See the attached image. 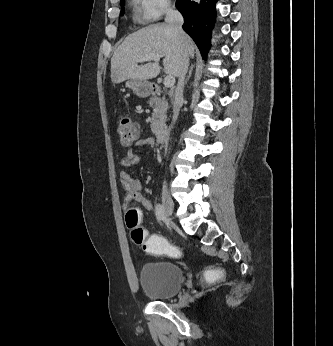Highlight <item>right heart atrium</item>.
Here are the masks:
<instances>
[{
  "label": "right heart atrium",
  "mask_w": 333,
  "mask_h": 346,
  "mask_svg": "<svg viewBox=\"0 0 333 346\" xmlns=\"http://www.w3.org/2000/svg\"><path fill=\"white\" fill-rule=\"evenodd\" d=\"M140 20L153 22L171 9V0H134Z\"/></svg>",
  "instance_id": "1"
}]
</instances>
